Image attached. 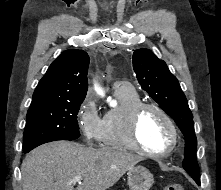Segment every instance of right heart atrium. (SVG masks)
Instances as JSON below:
<instances>
[{"label":"right heart atrium","mask_w":221,"mask_h":190,"mask_svg":"<svg viewBox=\"0 0 221 190\" xmlns=\"http://www.w3.org/2000/svg\"><path fill=\"white\" fill-rule=\"evenodd\" d=\"M77 124L84 139L88 143L101 141L102 119L99 115L95 101L86 97L80 104L77 115Z\"/></svg>","instance_id":"obj_1"}]
</instances>
